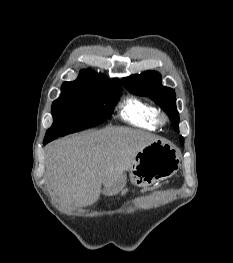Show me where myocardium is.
Wrapping results in <instances>:
<instances>
[{
	"instance_id": "1",
	"label": "myocardium",
	"mask_w": 233,
	"mask_h": 263,
	"mask_svg": "<svg viewBox=\"0 0 233 263\" xmlns=\"http://www.w3.org/2000/svg\"><path fill=\"white\" fill-rule=\"evenodd\" d=\"M167 120H168V118H167V116H166L165 114H159V115H158V122H159L160 124L166 123Z\"/></svg>"
}]
</instances>
